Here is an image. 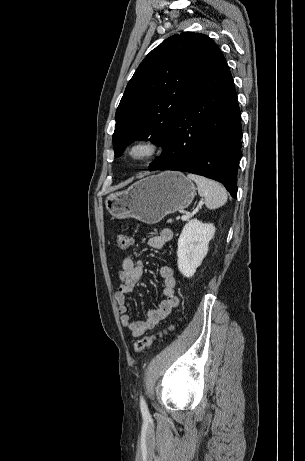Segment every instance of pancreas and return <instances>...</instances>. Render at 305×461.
<instances>
[{"mask_svg": "<svg viewBox=\"0 0 305 461\" xmlns=\"http://www.w3.org/2000/svg\"><path fill=\"white\" fill-rule=\"evenodd\" d=\"M168 222H169V223H171V222H172V220H171V219H169V220H168Z\"/></svg>", "mask_w": 305, "mask_h": 461, "instance_id": "1", "label": "pancreas"}]
</instances>
